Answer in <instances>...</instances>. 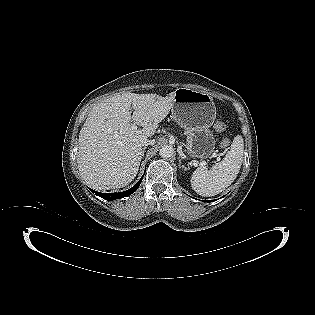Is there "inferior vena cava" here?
<instances>
[{
	"mask_svg": "<svg viewBox=\"0 0 315 315\" xmlns=\"http://www.w3.org/2000/svg\"><path fill=\"white\" fill-rule=\"evenodd\" d=\"M154 144H155V140H151V139L145 138V139L142 141V145H143V146L154 145Z\"/></svg>",
	"mask_w": 315,
	"mask_h": 315,
	"instance_id": "1",
	"label": "inferior vena cava"
}]
</instances>
